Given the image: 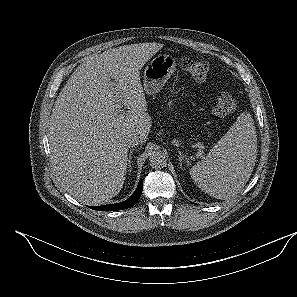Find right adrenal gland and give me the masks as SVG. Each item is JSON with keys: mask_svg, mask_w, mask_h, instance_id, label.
Instances as JSON below:
<instances>
[{"mask_svg": "<svg viewBox=\"0 0 297 297\" xmlns=\"http://www.w3.org/2000/svg\"><path fill=\"white\" fill-rule=\"evenodd\" d=\"M132 152H133V150H130V152H129V159H128V168H129V171L130 172L132 170V166H131V163H132Z\"/></svg>", "mask_w": 297, "mask_h": 297, "instance_id": "1", "label": "right adrenal gland"}]
</instances>
